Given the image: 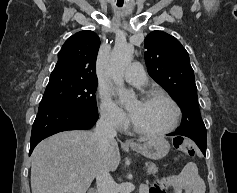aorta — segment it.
<instances>
[{
  "mask_svg": "<svg viewBox=\"0 0 237 193\" xmlns=\"http://www.w3.org/2000/svg\"><path fill=\"white\" fill-rule=\"evenodd\" d=\"M134 48L127 43H117L110 55L109 72L117 85L118 93L126 100L134 99V92L128 90L124 86L123 73L126 67L131 63L133 58ZM121 193H129L127 189H123Z\"/></svg>",
  "mask_w": 237,
  "mask_h": 193,
  "instance_id": "762f6f07",
  "label": "aorta"
}]
</instances>
